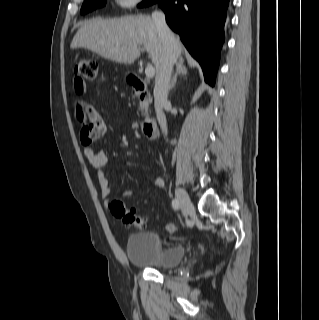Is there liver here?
I'll use <instances>...</instances> for the list:
<instances>
[{
    "label": "liver",
    "instance_id": "6515ba94",
    "mask_svg": "<svg viewBox=\"0 0 319 320\" xmlns=\"http://www.w3.org/2000/svg\"><path fill=\"white\" fill-rule=\"evenodd\" d=\"M70 48H85L123 64H132L145 49L155 66L156 77L164 54L155 22L147 15L86 21L75 34ZM174 49L177 59L182 53L178 37H174Z\"/></svg>",
    "mask_w": 319,
    "mask_h": 320
}]
</instances>
